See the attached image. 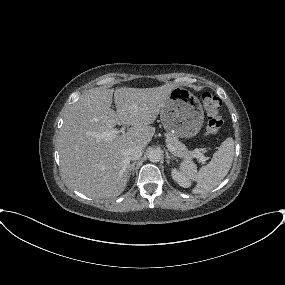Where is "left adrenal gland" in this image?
<instances>
[{"label":"left adrenal gland","mask_w":285,"mask_h":285,"mask_svg":"<svg viewBox=\"0 0 285 285\" xmlns=\"http://www.w3.org/2000/svg\"><path fill=\"white\" fill-rule=\"evenodd\" d=\"M170 159H176L174 156H171L168 151H166V163H170Z\"/></svg>","instance_id":"a2214340"}]
</instances>
